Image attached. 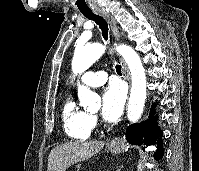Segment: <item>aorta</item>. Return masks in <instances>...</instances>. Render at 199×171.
Wrapping results in <instances>:
<instances>
[{
	"label": "aorta",
	"instance_id": "aorta-1",
	"mask_svg": "<svg viewBox=\"0 0 199 171\" xmlns=\"http://www.w3.org/2000/svg\"><path fill=\"white\" fill-rule=\"evenodd\" d=\"M123 56L131 73V92L128 103L127 117L132 123L138 121L144 109L146 100V75L139 55L130 47L121 45L117 48ZM105 52L102 44L95 43L85 47L76 48L73 60L72 71L74 73H83ZM78 98L81 106L87 109L99 107L100 97L89 88L79 85Z\"/></svg>",
	"mask_w": 199,
	"mask_h": 171
}]
</instances>
